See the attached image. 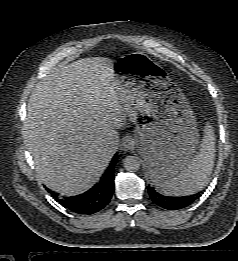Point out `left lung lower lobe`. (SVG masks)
<instances>
[{
	"mask_svg": "<svg viewBox=\"0 0 238 261\" xmlns=\"http://www.w3.org/2000/svg\"><path fill=\"white\" fill-rule=\"evenodd\" d=\"M148 193L154 203L167 210H178L189 206L194 202L195 195L185 197H168L164 196L154 188L148 187Z\"/></svg>",
	"mask_w": 238,
	"mask_h": 261,
	"instance_id": "1",
	"label": "left lung lower lobe"
}]
</instances>
